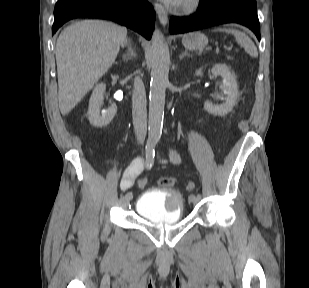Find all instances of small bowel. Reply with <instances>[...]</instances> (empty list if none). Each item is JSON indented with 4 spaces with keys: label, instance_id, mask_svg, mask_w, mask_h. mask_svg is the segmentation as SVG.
Listing matches in <instances>:
<instances>
[{
    "label": "small bowel",
    "instance_id": "small-bowel-1",
    "mask_svg": "<svg viewBox=\"0 0 309 288\" xmlns=\"http://www.w3.org/2000/svg\"><path fill=\"white\" fill-rule=\"evenodd\" d=\"M170 161L173 164H179L180 163L179 155L176 154L175 152L171 151L170 152ZM131 164L125 170L123 177L121 179V188L122 189H130L133 186L136 177L139 175V173L142 171V169L144 167V160L142 158H136L135 162L132 165Z\"/></svg>",
    "mask_w": 309,
    "mask_h": 288
}]
</instances>
